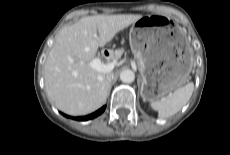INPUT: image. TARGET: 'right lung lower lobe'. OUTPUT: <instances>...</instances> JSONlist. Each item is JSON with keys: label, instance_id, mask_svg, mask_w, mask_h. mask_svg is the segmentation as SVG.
Returning a JSON list of instances; mask_svg holds the SVG:
<instances>
[{"label": "right lung lower lobe", "instance_id": "obj_1", "mask_svg": "<svg viewBox=\"0 0 230 155\" xmlns=\"http://www.w3.org/2000/svg\"><path fill=\"white\" fill-rule=\"evenodd\" d=\"M106 106H103L102 108H100L98 111L90 114V115H87V116H83V117H74L75 120H78V121H85V120H89V119H92V118H95L97 117L98 115L102 114L103 111L105 110ZM64 116L68 117L67 115L64 114Z\"/></svg>", "mask_w": 230, "mask_h": 155}]
</instances>
